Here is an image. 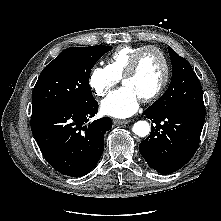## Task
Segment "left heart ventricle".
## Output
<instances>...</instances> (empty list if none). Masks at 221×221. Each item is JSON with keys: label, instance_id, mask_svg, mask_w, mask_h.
<instances>
[{"label": "left heart ventricle", "instance_id": "left-heart-ventricle-1", "mask_svg": "<svg viewBox=\"0 0 221 221\" xmlns=\"http://www.w3.org/2000/svg\"><path fill=\"white\" fill-rule=\"evenodd\" d=\"M163 62L156 51L143 54L134 75L124 80L123 85L130 87L142 99L153 93L163 77Z\"/></svg>", "mask_w": 221, "mask_h": 221}]
</instances>
